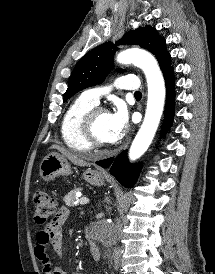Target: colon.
I'll use <instances>...</instances> for the list:
<instances>
[{"label": "colon", "mask_w": 215, "mask_h": 274, "mask_svg": "<svg viewBox=\"0 0 215 274\" xmlns=\"http://www.w3.org/2000/svg\"><path fill=\"white\" fill-rule=\"evenodd\" d=\"M34 219L39 225L45 224L56 211L55 199L46 191H37L34 195Z\"/></svg>", "instance_id": "obj_1"}]
</instances>
